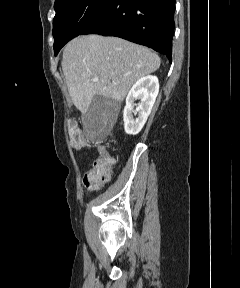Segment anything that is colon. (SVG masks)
I'll return each instance as SVG.
<instances>
[{"mask_svg":"<svg viewBox=\"0 0 240 288\" xmlns=\"http://www.w3.org/2000/svg\"><path fill=\"white\" fill-rule=\"evenodd\" d=\"M70 142L73 148L79 149L85 145V139L74 121L67 126ZM114 160L103 149L99 148V156L92 163L90 170L85 174L83 182L88 190H97L105 185L111 176Z\"/></svg>","mask_w":240,"mask_h":288,"instance_id":"obj_1","label":"colon"}]
</instances>
